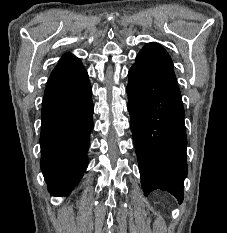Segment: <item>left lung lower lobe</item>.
Segmentation results:
<instances>
[{"label":"left lung lower lobe","instance_id":"obj_1","mask_svg":"<svg viewBox=\"0 0 227 233\" xmlns=\"http://www.w3.org/2000/svg\"><path fill=\"white\" fill-rule=\"evenodd\" d=\"M128 78L130 125L144 193L165 190L181 203L188 168L180 89L135 67Z\"/></svg>","mask_w":227,"mask_h":233}]
</instances>
